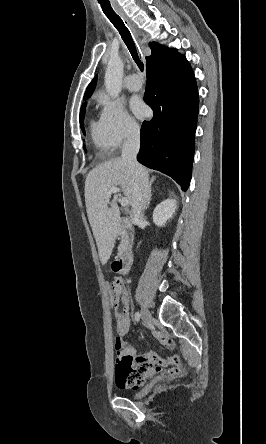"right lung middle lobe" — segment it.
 Segmentation results:
<instances>
[{
	"label": "right lung middle lobe",
	"instance_id": "1",
	"mask_svg": "<svg viewBox=\"0 0 266 444\" xmlns=\"http://www.w3.org/2000/svg\"><path fill=\"white\" fill-rule=\"evenodd\" d=\"M86 105H87L86 102L82 104L81 109H80V117H79V119H80V126H81V129H82V132H83L84 135H85V131H84V128H83V120H84Z\"/></svg>",
	"mask_w": 266,
	"mask_h": 444
}]
</instances>
